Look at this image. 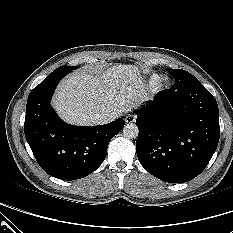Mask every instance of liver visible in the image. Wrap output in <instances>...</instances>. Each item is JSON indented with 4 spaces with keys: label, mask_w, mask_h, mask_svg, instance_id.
<instances>
[{
    "label": "liver",
    "mask_w": 233,
    "mask_h": 233,
    "mask_svg": "<svg viewBox=\"0 0 233 233\" xmlns=\"http://www.w3.org/2000/svg\"><path fill=\"white\" fill-rule=\"evenodd\" d=\"M149 98L138 67L119 64L95 74L77 70L59 84L52 104L66 122L93 125L95 114L114 120Z\"/></svg>",
    "instance_id": "liver-1"
}]
</instances>
